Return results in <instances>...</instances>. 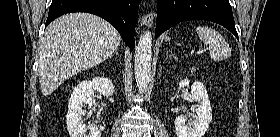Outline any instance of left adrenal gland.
<instances>
[{"instance_id": "1", "label": "left adrenal gland", "mask_w": 280, "mask_h": 137, "mask_svg": "<svg viewBox=\"0 0 280 137\" xmlns=\"http://www.w3.org/2000/svg\"><path fill=\"white\" fill-rule=\"evenodd\" d=\"M169 57L175 58V55H174L173 53H170V54H169Z\"/></svg>"}]
</instances>
